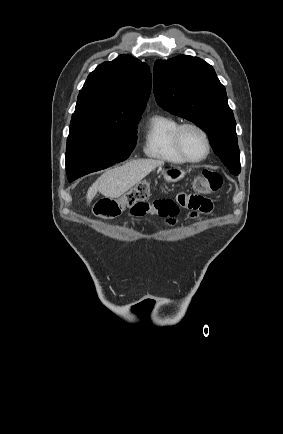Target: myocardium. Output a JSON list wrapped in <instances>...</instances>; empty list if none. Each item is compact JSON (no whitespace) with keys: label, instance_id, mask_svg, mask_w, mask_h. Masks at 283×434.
<instances>
[{"label":"myocardium","instance_id":"obj_1","mask_svg":"<svg viewBox=\"0 0 283 434\" xmlns=\"http://www.w3.org/2000/svg\"><path fill=\"white\" fill-rule=\"evenodd\" d=\"M186 128H193V129L197 130L202 135V137L205 141V144H206V151H205L203 156H201L199 158H192L185 152V150L182 146L181 136H182L183 131ZM174 145H175V148H176L177 152L179 153V155L186 162H190V163H198V162L204 161L209 156V154L211 152V141H210L208 133L206 132V130L202 126H200L199 124H197L195 122H184V123H180L177 126V128L174 132Z\"/></svg>","mask_w":283,"mask_h":434}]
</instances>
